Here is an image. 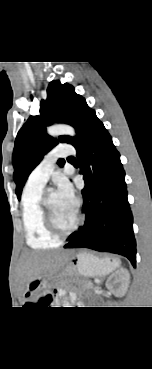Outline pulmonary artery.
<instances>
[{
  "instance_id": "pulmonary-artery-1",
  "label": "pulmonary artery",
  "mask_w": 152,
  "mask_h": 369,
  "mask_svg": "<svg viewBox=\"0 0 152 369\" xmlns=\"http://www.w3.org/2000/svg\"><path fill=\"white\" fill-rule=\"evenodd\" d=\"M75 154L73 146L69 144H60L49 151L40 163L30 173L26 185L29 187L43 188L49 179L53 164L59 158H65Z\"/></svg>"
}]
</instances>
